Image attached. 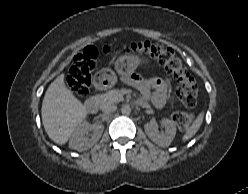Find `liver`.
Masks as SVG:
<instances>
[{
    "label": "liver",
    "instance_id": "1",
    "mask_svg": "<svg viewBox=\"0 0 248 194\" xmlns=\"http://www.w3.org/2000/svg\"><path fill=\"white\" fill-rule=\"evenodd\" d=\"M87 114L86 107L66 87L64 74L59 75L48 87L41 108L49 138L59 145L67 143Z\"/></svg>",
    "mask_w": 248,
    "mask_h": 194
}]
</instances>
